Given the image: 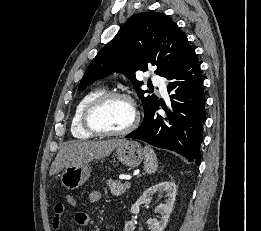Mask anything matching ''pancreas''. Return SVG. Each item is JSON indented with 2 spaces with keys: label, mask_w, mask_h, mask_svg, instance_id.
Wrapping results in <instances>:
<instances>
[{
  "label": "pancreas",
  "mask_w": 261,
  "mask_h": 231,
  "mask_svg": "<svg viewBox=\"0 0 261 231\" xmlns=\"http://www.w3.org/2000/svg\"><path fill=\"white\" fill-rule=\"evenodd\" d=\"M107 185L111 193L115 196H121L130 188V185L122 184L120 181L107 180Z\"/></svg>",
  "instance_id": "cf45deb5"
}]
</instances>
